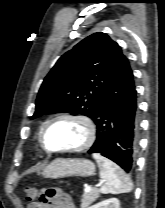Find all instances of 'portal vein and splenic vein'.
<instances>
[{
    "label": "portal vein and splenic vein",
    "instance_id": "18ae733b",
    "mask_svg": "<svg viewBox=\"0 0 165 208\" xmlns=\"http://www.w3.org/2000/svg\"><path fill=\"white\" fill-rule=\"evenodd\" d=\"M101 184H102V183L97 184L96 187L100 186ZM91 189H92V186H91V185H86L84 191H85L86 193H88Z\"/></svg>",
    "mask_w": 165,
    "mask_h": 208
}]
</instances>
